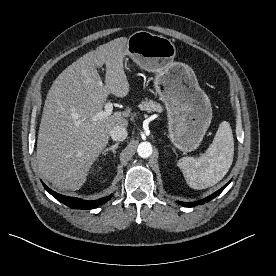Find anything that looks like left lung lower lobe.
I'll return each mask as SVG.
<instances>
[{"instance_id": "1", "label": "left lung lower lobe", "mask_w": 276, "mask_h": 276, "mask_svg": "<svg viewBox=\"0 0 276 276\" xmlns=\"http://www.w3.org/2000/svg\"><path fill=\"white\" fill-rule=\"evenodd\" d=\"M230 182H228L225 186H223L221 189H219L218 191H216L215 193H213L212 195L206 197L205 199L203 200H200V201H197V202H193V203H184V202H181L179 201L178 204L180 205H183V206H187V207H193L195 205H198V204H204L205 202L207 201H210L211 199L215 198L216 196H218L226 187L227 185L229 184Z\"/></svg>"}]
</instances>
